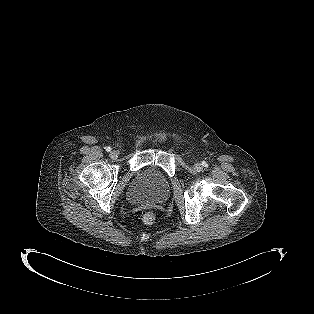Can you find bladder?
<instances>
[{
	"instance_id": "1",
	"label": "bladder",
	"mask_w": 314,
	"mask_h": 314,
	"mask_svg": "<svg viewBox=\"0 0 314 314\" xmlns=\"http://www.w3.org/2000/svg\"><path fill=\"white\" fill-rule=\"evenodd\" d=\"M129 201L159 204L170 194V182L157 168L148 167L135 177L126 191Z\"/></svg>"
}]
</instances>
